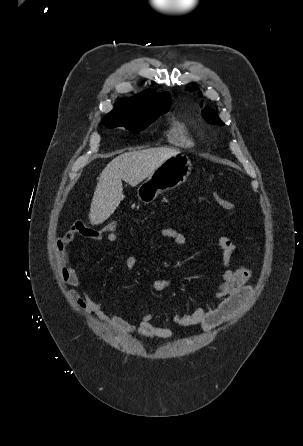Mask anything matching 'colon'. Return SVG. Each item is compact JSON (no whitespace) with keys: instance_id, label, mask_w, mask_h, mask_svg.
Here are the masks:
<instances>
[{"instance_id":"obj_1","label":"colon","mask_w":303,"mask_h":446,"mask_svg":"<svg viewBox=\"0 0 303 446\" xmlns=\"http://www.w3.org/2000/svg\"><path fill=\"white\" fill-rule=\"evenodd\" d=\"M214 199L216 204L224 209V210H232L234 208V205L227 199L215 194ZM118 222L117 221H111L107 223L102 229L100 230L101 233L104 235H116V231L118 230Z\"/></svg>"}]
</instances>
